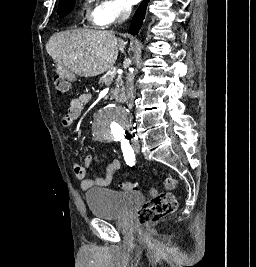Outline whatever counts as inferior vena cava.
Here are the masks:
<instances>
[{
    "instance_id": "inferior-vena-cava-1",
    "label": "inferior vena cava",
    "mask_w": 256,
    "mask_h": 267,
    "mask_svg": "<svg viewBox=\"0 0 256 267\" xmlns=\"http://www.w3.org/2000/svg\"><path fill=\"white\" fill-rule=\"evenodd\" d=\"M130 14H131V8H129V6H123V8L120 12V18L118 20V24H122V22H125V20H127V18H129ZM126 92H127L126 104L129 108V110H132V108L134 106V100H135L134 74H133V72H128V74H127Z\"/></svg>"
}]
</instances>
